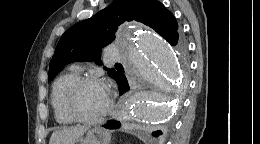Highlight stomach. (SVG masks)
I'll return each instance as SVG.
<instances>
[{"instance_id": "1", "label": "stomach", "mask_w": 260, "mask_h": 144, "mask_svg": "<svg viewBox=\"0 0 260 144\" xmlns=\"http://www.w3.org/2000/svg\"><path fill=\"white\" fill-rule=\"evenodd\" d=\"M111 133L101 127L87 131L85 136L74 140L71 144H110Z\"/></svg>"}]
</instances>
